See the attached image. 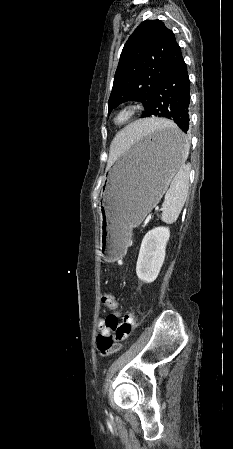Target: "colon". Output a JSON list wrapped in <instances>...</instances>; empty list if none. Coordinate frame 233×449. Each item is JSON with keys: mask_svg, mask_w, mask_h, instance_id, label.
Listing matches in <instances>:
<instances>
[{"mask_svg": "<svg viewBox=\"0 0 233 449\" xmlns=\"http://www.w3.org/2000/svg\"><path fill=\"white\" fill-rule=\"evenodd\" d=\"M102 303L111 312L105 319L104 331L97 338L99 351L105 353L130 336L135 326L136 314L135 310L130 308L120 318L117 312L118 303L112 293H106L102 297Z\"/></svg>", "mask_w": 233, "mask_h": 449, "instance_id": "5ec220e1", "label": "colon"}]
</instances>
